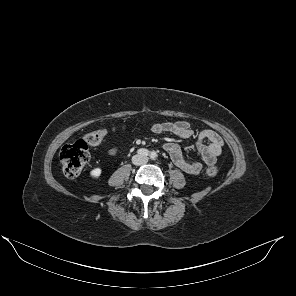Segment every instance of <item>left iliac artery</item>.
<instances>
[{
    "label": "left iliac artery",
    "mask_w": 296,
    "mask_h": 296,
    "mask_svg": "<svg viewBox=\"0 0 296 296\" xmlns=\"http://www.w3.org/2000/svg\"><path fill=\"white\" fill-rule=\"evenodd\" d=\"M149 157L151 159H155L157 157V154L155 152H150Z\"/></svg>",
    "instance_id": "left-iliac-artery-1"
}]
</instances>
